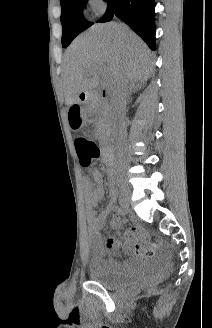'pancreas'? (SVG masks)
<instances>
[{"instance_id": "cf45deb5", "label": "pancreas", "mask_w": 212, "mask_h": 328, "mask_svg": "<svg viewBox=\"0 0 212 328\" xmlns=\"http://www.w3.org/2000/svg\"><path fill=\"white\" fill-rule=\"evenodd\" d=\"M93 113L96 115V132L100 139L105 140L112 133V124L109 115L108 104L101 101L92 105Z\"/></svg>"}]
</instances>
